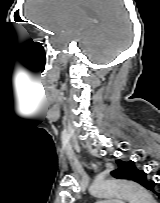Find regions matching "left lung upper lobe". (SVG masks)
<instances>
[{
    "mask_svg": "<svg viewBox=\"0 0 160 203\" xmlns=\"http://www.w3.org/2000/svg\"><path fill=\"white\" fill-rule=\"evenodd\" d=\"M116 162L118 164V169L112 172L115 177L135 181L144 187L149 183L146 179V173L138 170L133 161L124 162L117 160Z\"/></svg>",
    "mask_w": 160,
    "mask_h": 203,
    "instance_id": "obj_1",
    "label": "left lung upper lobe"
}]
</instances>
